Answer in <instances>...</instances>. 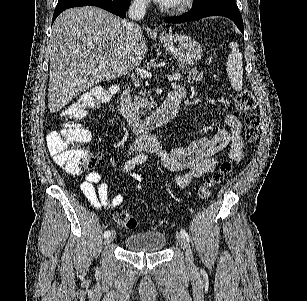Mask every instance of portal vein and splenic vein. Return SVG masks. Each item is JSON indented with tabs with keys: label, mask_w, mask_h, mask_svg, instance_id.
I'll use <instances>...</instances> for the list:
<instances>
[{
	"label": "portal vein and splenic vein",
	"mask_w": 307,
	"mask_h": 301,
	"mask_svg": "<svg viewBox=\"0 0 307 301\" xmlns=\"http://www.w3.org/2000/svg\"><path fill=\"white\" fill-rule=\"evenodd\" d=\"M101 66H104V64H101ZM136 74H139L141 78H152L151 72L149 70H144V68H136ZM181 74L179 72H175L173 76H168L169 80H178L180 78Z\"/></svg>",
	"instance_id": "1"
}]
</instances>
